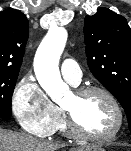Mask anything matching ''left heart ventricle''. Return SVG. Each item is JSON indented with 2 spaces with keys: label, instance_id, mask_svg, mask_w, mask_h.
I'll return each instance as SVG.
<instances>
[{
  "label": "left heart ventricle",
  "instance_id": "b2bd125f",
  "mask_svg": "<svg viewBox=\"0 0 131 151\" xmlns=\"http://www.w3.org/2000/svg\"><path fill=\"white\" fill-rule=\"evenodd\" d=\"M76 117L79 126L87 133L106 136L117 125V114L110 101L100 94H92L78 100L71 94L63 103Z\"/></svg>",
  "mask_w": 131,
  "mask_h": 151
}]
</instances>
